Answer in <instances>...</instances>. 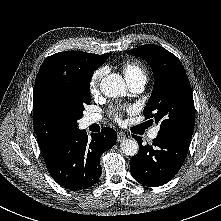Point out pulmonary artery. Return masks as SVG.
<instances>
[{
  "instance_id": "e3ab8cb5",
  "label": "pulmonary artery",
  "mask_w": 221,
  "mask_h": 221,
  "mask_svg": "<svg viewBox=\"0 0 221 221\" xmlns=\"http://www.w3.org/2000/svg\"><path fill=\"white\" fill-rule=\"evenodd\" d=\"M145 81H130L128 82L129 88L134 93H140L144 89ZM100 115L98 114H88L85 116L84 124L85 126H89L94 124L100 120ZM159 126H155L148 133V138L150 140H154L157 137Z\"/></svg>"
}]
</instances>
